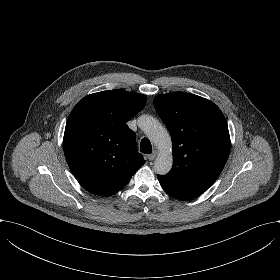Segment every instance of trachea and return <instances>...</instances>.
Here are the masks:
<instances>
[{"label":"trachea","mask_w":280,"mask_h":280,"mask_svg":"<svg viewBox=\"0 0 280 280\" xmlns=\"http://www.w3.org/2000/svg\"><path fill=\"white\" fill-rule=\"evenodd\" d=\"M140 151L145 154L152 153V145L148 138H143L141 140Z\"/></svg>","instance_id":"3493384b"}]
</instances>
